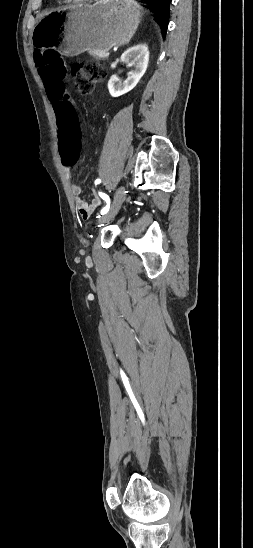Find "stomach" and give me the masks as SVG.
I'll list each match as a JSON object with an SVG mask.
<instances>
[{
  "mask_svg": "<svg viewBox=\"0 0 253 548\" xmlns=\"http://www.w3.org/2000/svg\"><path fill=\"white\" fill-rule=\"evenodd\" d=\"M142 18L132 0H100L93 5H70L51 13L35 27L34 44H59L64 55L108 50L129 43Z\"/></svg>",
  "mask_w": 253,
  "mask_h": 548,
  "instance_id": "1",
  "label": "stomach"
}]
</instances>
